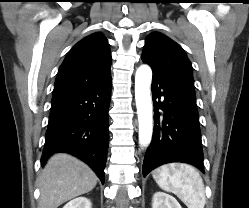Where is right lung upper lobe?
<instances>
[{
  "label": "right lung upper lobe",
  "mask_w": 249,
  "mask_h": 208,
  "mask_svg": "<svg viewBox=\"0 0 249 208\" xmlns=\"http://www.w3.org/2000/svg\"><path fill=\"white\" fill-rule=\"evenodd\" d=\"M111 53L101 33L85 37L69 51L61 64L53 96L85 89L111 77Z\"/></svg>",
  "instance_id": "cb5924a9"
}]
</instances>
